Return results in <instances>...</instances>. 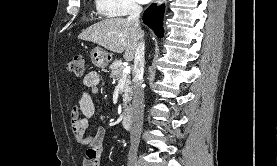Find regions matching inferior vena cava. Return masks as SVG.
Here are the masks:
<instances>
[{"label":"inferior vena cava","mask_w":277,"mask_h":166,"mask_svg":"<svg viewBox=\"0 0 277 166\" xmlns=\"http://www.w3.org/2000/svg\"><path fill=\"white\" fill-rule=\"evenodd\" d=\"M142 12V7L136 3L131 6L127 21L139 26V18ZM144 50L143 42H140L135 53L134 68H133V87H132V128L130 131V150L129 157L135 158L138 151L140 136L143 125L144 112V93L142 88L143 73H144Z\"/></svg>","instance_id":"602c4592"}]
</instances>
